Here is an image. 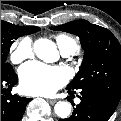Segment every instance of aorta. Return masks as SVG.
Returning a JSON list of instances; mask_svg holds the SVG:
<instances>
[{
  "mask_svg": "<svg viewBox=\"0 0 121 121\" xmlns=\"http://www.w3.org/2000/svg\"><path fill=\"white\" fill-rule=\"evenodd\" d=\"M33 48L36 55L46 62L54 61L58 55L56 45L48 39L36 40ZM54 109L57 116L67 118L71 113V104L61 101L55 105Z\"/></svg>",
  "mask_w": 121,
  "mask_h": 121,
  "instance_id": "obj_1",
  "label": "aorta"
}]
</instances>
